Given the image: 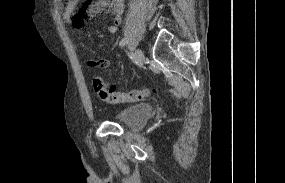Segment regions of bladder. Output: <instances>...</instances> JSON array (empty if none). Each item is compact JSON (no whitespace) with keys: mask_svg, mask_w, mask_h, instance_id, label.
Returning a JSON list of instances; mask_svg holds the SVG:
<instances>
[{"mask_svg":"<svg viewBox=\"0 0 285 183\" xmlns=\"http://www.w3.org/2000/svg\"><path fill=\"white\" fill-rule=\"evenodd\" d=\"M153 114V108L148 104H136L120 110L118 122L129 128H140L146 124Z\"/></svg>","mask_w":285,"mask_h":183,"instance_id":"1","label":"bladder"}]
</instances>
